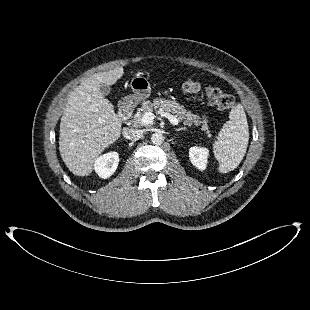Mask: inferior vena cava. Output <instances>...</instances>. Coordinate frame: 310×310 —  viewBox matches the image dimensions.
<instances>
[{"label": "inferior vena cava", "mask_w": 310, "mask_h": 310, "mask_svg": "<svg viewBox=\"0 0 310 310\" xmlns=\"http://www.w3.org/2000/svg\"><path fill=\"white\" fill-rule=\"evenodd\" d=\"M143 131L133 128H125L123 131L124 137L127 139H138L142 135Z\"/></svg>", "instance_id": "inferior-vena-cava-1"}]
</instances>
